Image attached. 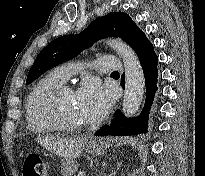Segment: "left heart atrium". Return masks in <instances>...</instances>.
<instances>
[{"label": "left heart atrium", "mask_w": 205, "mask_h": 176, "mask_svg": "<svg viewBox=\"0 0 205 176\" xmlns=\"http://www.w3.org/2000/svg\"><path fill=\"white\" fill-rule=\"evenodd\" d=\"M77 101L88 120L96 121L107 112L110 93L95 79L85 81L76 93Z\"/></svg>", "instance_id": "1"}]
</instances>
